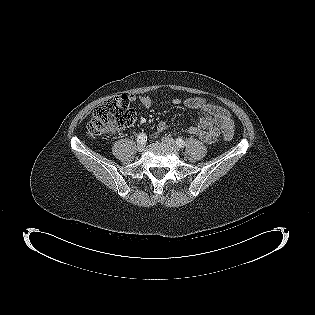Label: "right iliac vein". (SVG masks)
<instances>
[{"label": "right iliac vein", "instance_id": "right-iliac-vein-1", "mask_svg": "<svg viewBox=\"0 0 315 315\" xmlns=\"http://www.w3.org/2000/svg\"><path fill=\"white\" fill-rule=\"evenodd\" d=\"M145 149V144L144 143H138L137 145V150L138 151H143Z\"/></svg>", "mask_w": 315, "mask_h": 315}]
</instances>
